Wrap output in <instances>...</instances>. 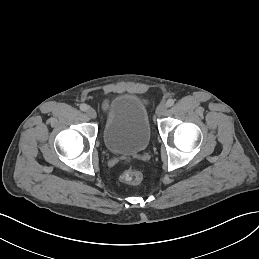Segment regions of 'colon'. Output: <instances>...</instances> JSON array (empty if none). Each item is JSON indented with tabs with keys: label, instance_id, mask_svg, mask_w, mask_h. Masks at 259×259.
I'll return each instance as SVG.
<instances>
[{
	"label": "colon",
	"instance_id": "5ec220e1",
	"mask_svg": "<svg viewBox=\"0 0 259 259\" xmlns=\"http://www.w3.org/2000/svg\"><path fill=\"white\" fill-rule=\"evenodd\" d=\"M142 178V173L136 169H128L121 175V180L128 184H138L142 181Z\"/></svg>",
	"mask_w": 259,
	"mask_h": 259
}]
</instances>
